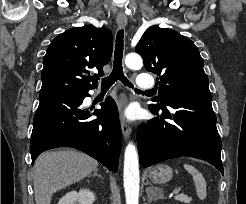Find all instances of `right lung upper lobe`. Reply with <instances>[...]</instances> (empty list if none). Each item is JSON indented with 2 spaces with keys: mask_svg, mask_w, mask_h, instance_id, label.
<instances>
[{
  "mask_svg": "<svg viewBox=\"0 0 246 204\" xmlns=\"http://www.w3.org/2000/svg\"><path fill=\"white\" fill-rule=\"evenodd\" d=\"M112 48V33L107 28L86 25L60 34L44 57L39 96L97 87L102 67L111 59ZM93 68L98 69L99 74L88 76Z\"/></svg>",
  "mask_w": 246,
  "mask_h": 204,
  "instance_id": "obj_1",
  "label": "right lung upper lobe"
}]
</instances>
